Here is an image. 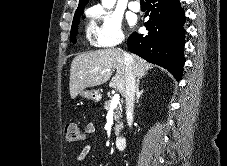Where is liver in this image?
<instances>
[{
	"label": "liver",
	"mask_w": 227,
	"mask_h": 166,
	"mask_svg": "<svg viewBox=\"0 0 227 166\" xmlns=\"http://www.w3.org/2000/svg\"><path fill=\"white\" fill-rule=\"evenodd\" d=\"M125 54L127 53L120 49L108 48L77 55L73 59L70 69L69 90L71 98L75 99L86 88L106 83L114 70H116V74L112 77L109 86L116 88L124 95L126 87ZM127 55L130 56V64L135 77L145 76L146 72L153 67L151 63L137 55Z\"/></svg>",
	"instance_id": "1"
}]
</instances>
